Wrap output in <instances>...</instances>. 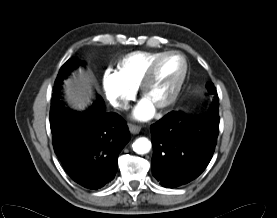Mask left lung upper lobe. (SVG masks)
I'll return each instance as SVG.
<instances>
[{
    "label": "left lung upper lobe",
    "instance_id": "obj_1",
    "mask_svg": "<svg viewBox=\"0 0 277 218\" xmlns=\"http://www.w3.org/2000/svg\"><path fill=\"white\" fill-rule=\"evenodd\" d=\"M206 87H207L209 93L214 96V99L217 100L218 95H217V91H216V88L213 85V83H207Z\"/></svg>",
    "mask_w": 277,
    "mask_h": 218
}]
</instances>
